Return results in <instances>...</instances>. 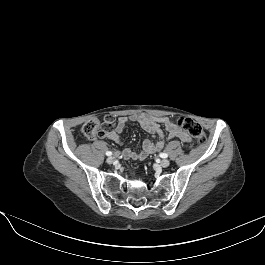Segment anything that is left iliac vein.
Listing matches in <instances>:
<instances>
[{"label": "left iliac vein", "mask_w": 265, "mask_h": 265, "mask_svg": "<svg viewBox=\"0 0 265 265\" xmlns=\"http://www.w3.org/2000/svg\"><path fill=\"white\" fill-rule=\"evenodd\" d=\"M170 165V161L167 160V159H163L160 161V166L163 167V168H166Z\"/></svg>", "instance_id": "left-iliac-vein-1"}]
</instances>
